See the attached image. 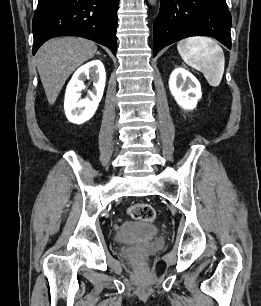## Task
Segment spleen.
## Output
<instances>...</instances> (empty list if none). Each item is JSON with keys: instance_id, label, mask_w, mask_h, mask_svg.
Returning <instances> with one entry per match:
<instances>
[{"instance_id": "3e777b00", "label": "spleen", "mask_w": 261, "mask_h": 306, "mask_svg": "<svg viewBox=\"0 0 261 306\" xmlns=\"http://www.w3.org/2000/svg\"><path fill=\"white\" fill-rule=\"evenodd\" d=\"M177 49L186 64L201 71L211 86H219L225 58L218 43L209 37L195 36L180 41Z\"/></svg>"}]
</instances>
